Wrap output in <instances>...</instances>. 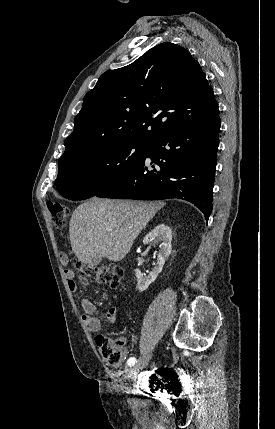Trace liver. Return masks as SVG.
Here are the masks:
<instances>
[{"label": "liver", "instance_id": "1", "mask_svg": "<svg viewBox=\"0 0 275 429\" xmlns=\"http://www.w3.org/2000/svg\"><path fill=\"white\" fill-rule=\"evenodd\" d=\"M162 205L91 198L71 216L69 234L73 252L85 264L96 256L121 261Z\"/></svg>", "mask_w": 275, "mask_h": 429}]
</instances>
